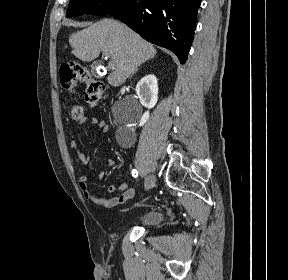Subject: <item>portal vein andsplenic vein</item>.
I'll return each mask as SVG.
<instances>
[{"label":"portal vein and splenic vein","mask_w":288,"mask_h":280,"mask_svg":"<svg viewBox=\"0 0 288 280\" xmlns=\"http://www.w3.org/2000/svg\"><path fill=\"white\" fill-rule=\"evenodd\" d=\"M103 54L106 56V57H108L109 55H108V53H106V52H103ZM114 62L113 61H109V63H108V68L109 69H111V70H113L114 69Z\"/></svg>","instance_id":"obj_1"}]
</instances>
